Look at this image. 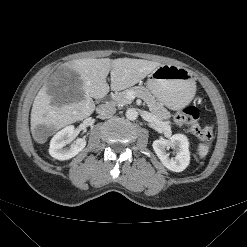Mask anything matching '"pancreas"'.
Masks as SVG:
<instances>
[{"label": "pancreas", "instance_id": "pancreas-1", "mask_svg": "<svg viewBox=\"0 0 247 247\" xmlns=\"http://www.w3.org/2000/svg\"><path fill=\"white\" fill-rule=\"evenodd\" d=\"M129 93H133L135 96L143 99L149 110L159 119L168 120L171 117L170 112L143 86H135L123 92L113 94L111 104L114 106L131 104L132 99L129 98Z\"/></svg>", "mask_w": 247, "mask_h": 247}]
</instances>
